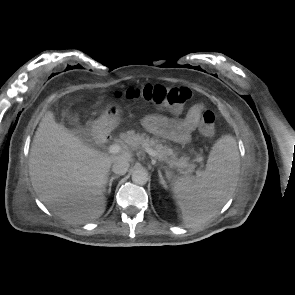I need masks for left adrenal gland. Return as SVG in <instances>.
Returning a JSON list of instances; mask_svg holds the SVG:
<instances>
[{
    "instance_id": "left-adrenal-gland-1",
    "label": "left adrenal gland",
    "mask_w": 295,
    "mask_h": 295,
    "mask_svg": "<svg viewBox=\"0 0 295 295\" xmlns=\"http://www.w3.org/2000/svg\"><path fill=\"white\" fill-rule=\"evenodd\" d=\"M158 174H159L160 184L163 185L164 188H167L166 182H165V180L163 179V176H162L160 170L158 171Z\"/></svg>"
}]
</instances>
